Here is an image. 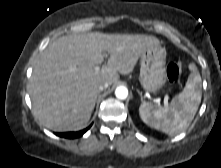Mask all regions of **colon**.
Instances as JSON below:
<instances>
[{
  "label": "colon",
  "instance_id": "obj_1",
  "mask_svg": "<svg viewBox=\"0 0 221 168\" xmlns=\"http://www.w3.org/2000/svg\"><path fill=\"white\" fill-rule=\"evenodd\" d=\"M180 76V68L175 63H169L166 67V77L169 82L174 83Z\"/></svg>",
  "mask_w": 221,
  "mask_h": 168
}]
</instances>
